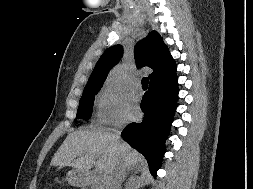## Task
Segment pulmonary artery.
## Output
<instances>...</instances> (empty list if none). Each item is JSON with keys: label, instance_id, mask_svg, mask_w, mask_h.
I'll return each mask as SVG.
<instances>
[{"label": "pulmonary artery", "instance_id": "obj_1", "mask_svg": "<svg viewBox=\"0 0 253 189\" xmlns=\"http://www.w3.org/2000/svg\"><path fill=\"white\" fill-rule=\"evenodd\" d=\"M134 88H135L136 90H140V89H141V84H140V82H136V83L134 84Z\"/></svg>", "mask_w": 253, "mask_h": 189}]
</instances>
